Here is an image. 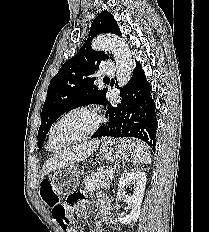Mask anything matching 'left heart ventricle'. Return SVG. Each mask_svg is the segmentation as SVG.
Instances as JSON below:
<instances>
[{"mask_svg": "<svg viewBox=\"0 0 209 232\" xmlns=\"http://www.w3.org/2000/svg\"><path fill=\"white\" fill-rule=\"evenodd\" d=\"M91 123V119L82 113H76L66 118L58 128L50 146L55 149L59 146L60 140L67 135L81 132Z\"/></svg>", "mask_w": 209, "mask_h": 232, "instance_id": "b2bd125f", "label": "left heart ventricle"}]
</instances>
